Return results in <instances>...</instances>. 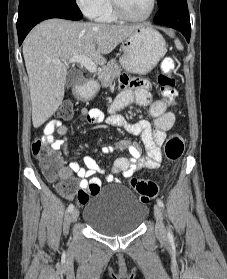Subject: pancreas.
Instances as JSON below:
<instances>
[{
  "label": "pancreas",
  "instance_id": "1",
  "mask_svg": "<svg viewBox=\"0 0 227 279\" xmlns=\"http://www.w3.org/2000/svg\"><path fill=\"white\" fill-rule=\"evenodd\" d=\"M121 67L116 60H111L98 73V80L102 86H108L121 72Z\"/></svg>",
  "mask_w": 227,
  "mask_h": 279
}]
</instances>
